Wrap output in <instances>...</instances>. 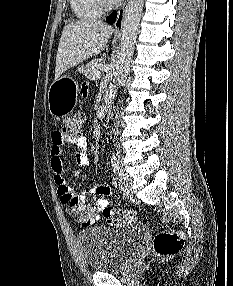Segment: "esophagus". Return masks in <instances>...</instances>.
<instances>
[{
    "mask_svg": "<svg viewBox=\"0 0 233 286\" xmlns=\"http://www.w3.org/2000/svg\"><path fill=\"white\" fill-rule=\"evenodd\" d=\"M130 0H125L123 6L119 9L116 21L114 23V34L115 36H121L122 30H123V23H124V18L129 6Z\"/></svg>",
    "mask_w": 233,
    "mask_h": 286,
    "instance_id": "34e87169",
    "label": "esophagus"
}]
</instances>
